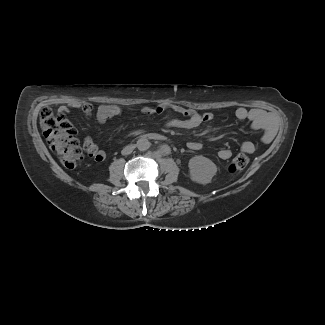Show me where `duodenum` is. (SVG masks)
I'll use <instances>...</instances> for the list:
<instances>
[{"instance_id":"410a0bca","label":"duodenum","mask_w":325,"mask_h":325,"mask_svg":"<svg viewBox=\"0 0 325 325\" xmlns=\"http://www.w3.org/2000/svg\"><path fill=\"white\" fill-rule=\"evenodd\" d=\"M150 137L154 139H162V136L160 134H150Z\"/></svg>"}]
</instances>
